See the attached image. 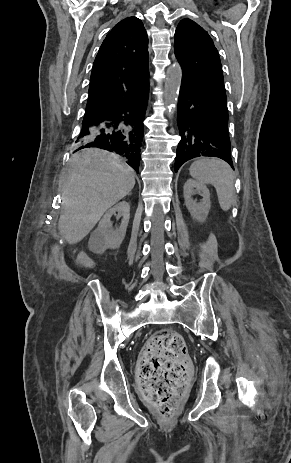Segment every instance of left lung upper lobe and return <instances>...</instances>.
Here are the masks:
<instances>
[{"label":"left lung upper lobe","mask_w":291,"mask_h":463,"mask_svg":"<svg viewBox=\"0 0 291 463\" xmlns=\"http://www.w3.org/2000/svg\"><path fill=\"white\" fill-rule=\"evenodd\" d=\"M174 51L182 68V83L200 89L227 107L219 54L207 31L183 19L175 32Z\"/></svg>","instance_id":"1"}]
</instances>
